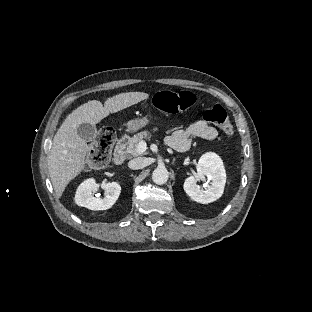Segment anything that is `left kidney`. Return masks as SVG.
<instances>
[{"mask_svg": "<svg viewBox=\"0 0 312 312\" xmlns=\"http://www.w3.org/2000/svg\"><path fill=\"white\" fill-rule=\"evenodd\" d=\"M199 181H204V184L198 185ZM225 182L226 173L219 156L207 153L200 158L196 175L188 177L183 187L192 200L208 204L222 196Z\"/></svg>", "mask_w": 312, "mask_h": 312, "instance_id": "5707ae66", "label": "left kidney"}]
</instances>
